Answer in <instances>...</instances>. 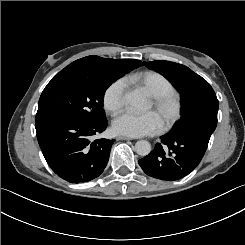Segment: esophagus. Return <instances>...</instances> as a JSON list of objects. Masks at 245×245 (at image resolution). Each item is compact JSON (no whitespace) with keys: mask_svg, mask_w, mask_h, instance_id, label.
Wrapping results in <instances>:
<instances>
[{"mask_svg":"<svg viewBox=\"0 0 245 245\" xmlns=\"http://www.w3.org/2000/svg\"><path fill=\"white\" fill-rule=\"evenodd\" d=\"M117 140H133L134 138L128 137V136H117Z\"/></svg>","mask_w":245,"mask_h":245,"instance_id":"1","label":"esophagus"}]
</instances>
